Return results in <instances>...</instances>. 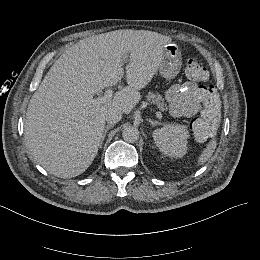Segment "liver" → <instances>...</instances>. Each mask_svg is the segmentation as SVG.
I'll return each mask as SVG.
<instances>
[{
  "label": "liver",
  "instance_id": "1",
  "mask_svg": "<svg viewBox=\"0 0 260 260\" xmlns=\"http://www.w3.org/2000/svg\"><path fill=\"white\" fill-rule=\"evenodd\" d=\"M172 38L152 31L116 30L72 45L53 64L31 97L24 121V143L30 160L59 178L84 173L98 154L106 114L117 109L129 115L159 71ZM130 53L127 86L111 100L93 96L123 76L122 63Z\"/></svg>",
  "mask_w": 260,
  "mask_h": 260
}]
</instances>
